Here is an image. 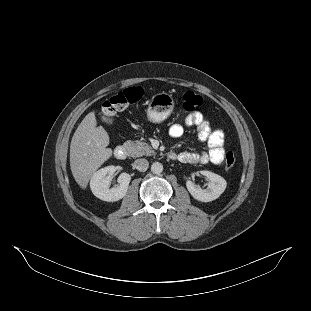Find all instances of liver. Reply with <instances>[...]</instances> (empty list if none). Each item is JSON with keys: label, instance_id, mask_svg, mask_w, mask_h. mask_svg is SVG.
<instances>
[{"label": "liver", "instance_id": "6515ba94", "mask_svg": "<svg viewBox=\"0 0 311 311\" xmlns=\"http://www.w3.org/2000/svg\"><path fill=\"white\" fill-rule=\"evenodd\" d=\"M108 134L96 126L94 112L88 113L76 129L70 144V166L75 180L83 187L92 173L111 155Z\"/></svg>", "mask_w": 311, "mask_h": 311}]
</instances>
